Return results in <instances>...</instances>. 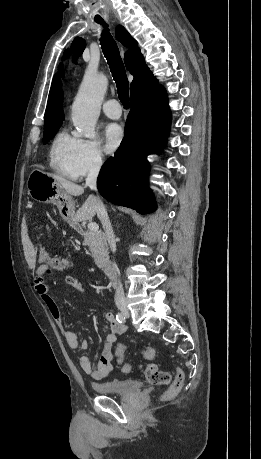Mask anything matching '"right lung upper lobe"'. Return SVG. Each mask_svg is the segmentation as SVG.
<instances>
[{
    "label": "right lung upper lobe",
    "instance_id": "obj_1",
    "mask_svg": "<svg viewBox=\"0 0 261 459\" xmlns=\"http://www.w3.org/2000/svg\"><path fill=\"white\" fill-rule=\"evenodd\" d=\"M116 38L129 50L125 53V65L134 79L130 85V99L158 87L157 80L145 64L144 58L137 47V42L122 27L116 28ZM61 82L55 75L52 81L47 108L44 116L45 125L62 123L64 116L61 100Z\"/></svg>",
    "mask_w": 261,
    "mask_h": 459
}]
</instances>
